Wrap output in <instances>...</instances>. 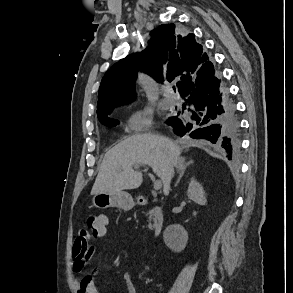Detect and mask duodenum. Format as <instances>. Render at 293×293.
Listing matches in <instances>:
<instances>
[{"label": "duodenum", "mask_w": 293, "mask_h": 293, "mask_svg": "<svg viewBox=\"0 0 293 293\" xmlns=\"http://www.w3.org/2000/svg\"><path fill=\"white\" fill-rule=\"evenodd\" d=\"M140 202L142 204L148 203V198L146 196H142L140 198ZM164 215L161 207L156 206L153 211V236L156 237L161 232L164 225Z\"/></svg>", "instance_id": "1"}]
</instances>
